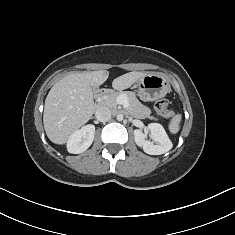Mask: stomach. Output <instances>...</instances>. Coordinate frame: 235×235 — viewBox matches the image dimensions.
<instances>
[{
  "label": "stomach",
  "instance_id": "obj_1",
  "mask_svg": "<svg viewBox=\"0 0 235 235\" xmlns=\"http://www.w3.org/2000/svg\"><path fill=\"white\" fill-rule=\"evenodd\" d=\"M137 93L143 101H154L164 97L170 89L167 78L162 74H147L136 84Z\"/></svg>",
  "mask_w": 235,
  "mask_h": 235
}]
</instances>
